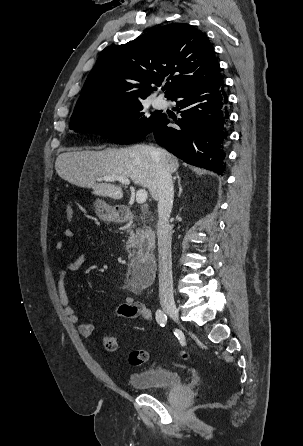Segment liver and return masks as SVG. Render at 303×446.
Returning a JSON list of instances; mask_svg holds the SVG:
<instances>
[{"label": "liver", "mask_w": 303, "mask_h": 446, "mask_svg": "<svg viewBox=\"0 0 303 446\" xmlns=\"http://www.w3.org/2000/svg\"><path fill=\"white\" fill-rule=\"evenodd\" d=\"M161 163L170 173L178 167V159L165 149L151 145H134L129 148H107L103 151H71L61 153L55 161L58 175L80 187L92 188L93 194L119 200L121 187L101 183L103 176H123L147 188L153 199L157 194V165Z\"/></svg>", "instance_id": "1"}]
</instances>
